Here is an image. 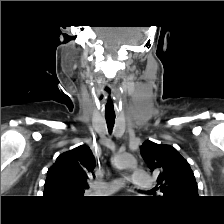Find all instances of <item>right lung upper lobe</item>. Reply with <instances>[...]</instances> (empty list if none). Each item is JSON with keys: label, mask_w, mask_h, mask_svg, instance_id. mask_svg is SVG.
Returning a JSON list of instances; mask_svg holds the SVG:
<instances>
[{"label": "right lung upper lobe", "mask_w": 224, "mask_h": 224, "mask_svg": "<svg viewBox=\"0 0 224 224\" xmlns=\"http://www.w3.org/2000/svg\"><path fill=\"white\" fill-rule=\"evenodd\" d=\"M94 168L95 158L87 145L62 153L48 169L44 196H83Z\"/></svg>", "instance_id": "cb5924a9"}]
</instances>
